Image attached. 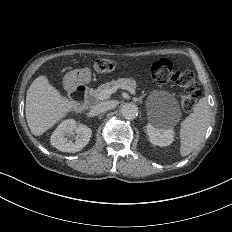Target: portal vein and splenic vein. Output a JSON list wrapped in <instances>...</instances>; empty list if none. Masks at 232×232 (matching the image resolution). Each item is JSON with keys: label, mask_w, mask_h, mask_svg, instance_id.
I'll list each match as a JSON object with an SVG mask.
<instances>
[{"label": "portal vein and splenic vein", "mask_w": 232, "mask_h": 232, "mask_svg": "<svg viewBox=\"0 0 232 232\" xmlns=\"http://www.w3.org/2000/svg\"><path fill=\"white\" fill-rule=\"evenodd\" d=\"M118 88H122V89H126L128 90L131 94H135V89L132 88L129 85H122V86H113L111 89L109 90H104L102 91L101 95H100V100H104V99H108L112 93H114Z\"/></svg>", "instance_id": "1"}]
</instances>
